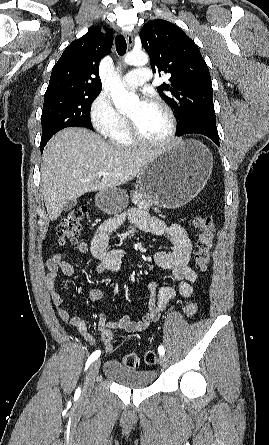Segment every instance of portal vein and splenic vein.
I'll use <instances>...</instances> for the list:
<instances>
[{
    "label": "portal vein and splenic vein",
    "instance_id": "portal-vein-and-splenic-vein-1",
    "mask_svg": "<svg viewBox=\"0 0 269 445\" xmlns=\"http://www.w3.org/2000/svg\"><path fill=\"white\" fill-rule=\"evenodd\" d=\"M106 175H109V173L103 171L98 172V176H106Z\"/></svg>",
    "mask_w": 269,
    "mask_h": 445
}]
</instances>
